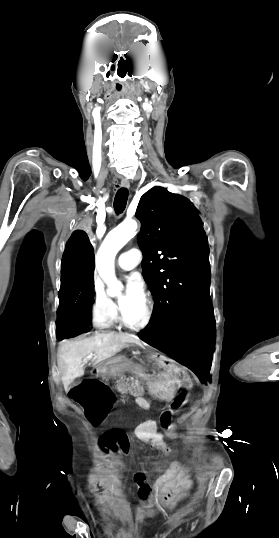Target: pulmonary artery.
Here are the masks:
<instances>
[{"mask_svg": "<svg viewBox=\"0 0 279 538\" xmlns=\"http://www.w3.org/2000/svg\"><path fill=\"white\" fill-rule=\"evenodd\" d=\"M135 262L137 264L136 260L130 258V252H124L120 254L116 260L117 266L124 271H129L135 268Z\"/></svg>", "mask_w": 279, "mask_h": 538, "instance_id": "e3ab8cb5", "label": "pulmonary artery"}]
</instances>
